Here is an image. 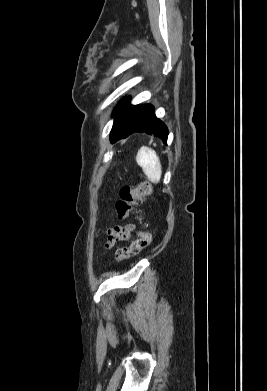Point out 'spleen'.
<instances>
[{"label":"spleen","instance_id":"3e777b00","mask_svg":"<svg viewBox=\"0 0 267 391\" xmlns=\"http://www.w3.org/2000/svg\"><path fill=\"white\" fill-rule=\"evenodd\" d=\"M136 162L151 182L158 183L160 181L162 166L159 157L153 149L142 146L137 153Z\"/></svg>","mask_w":267,"mask_h":391}]
</instances>
